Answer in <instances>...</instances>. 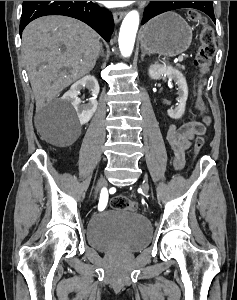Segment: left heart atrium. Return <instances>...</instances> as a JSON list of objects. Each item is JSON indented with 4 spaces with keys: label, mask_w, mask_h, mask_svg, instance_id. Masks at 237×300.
Segmentation results:
<instances>
[{
    "label": "left heart atrium",
    "mask_w": 237,
    "mask_h": 300,
    "mask_svg": "<svg viewBox=\"0 0 237 300\" xmlns=\"http://www.w3.org/2000/svg\"><path fill=\"white\" fill-rule=\"evenodd\" d=\"M104 5L110 8L123 7L131 4L133 1H101Z\"/></svg>",
    "instance_id": "39dd6f15"
}]
</instances>
